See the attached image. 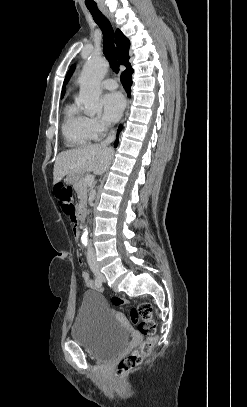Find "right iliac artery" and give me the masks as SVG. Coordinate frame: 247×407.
Listing matches in <instances>:
<instances>
[{"label": "right iliac artery", "mask_w": 247, "mask_h": 407, "mask_svg": "<svg viewBox=\"0 0 247 407\" xmlns=\"http://www.w3.org/2000/svg\"><path fill=\"white\" fill-rule=\"evenodd\" d=\"M94 283H95V286L97 287V288H101L102 287V282H101V280L99 279V278H95L94 279Z\"/></svg>", "instance_id": "obj_1"}]
</instances>
